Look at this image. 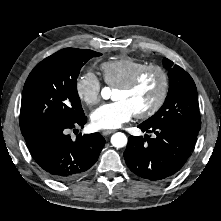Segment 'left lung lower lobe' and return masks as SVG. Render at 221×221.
<instances>
[{"label":"left lung lower lobe","instance_id":"obj_1","mask_svg":"<svg viewBox=\"0 0 221 221\" xmlns=\"http://www.w3.org/2000/svg\"><path fill=\"white\" fill-rule=\"evenodd\" d=\"M138 127L143 132L154 133L156 137H130L124 152L129 169L141 178L156 182L177 174L189 158L197 136L172 125L143 122Z\"/></svg>","mask_w":221,"mask_h":221}]
</instances>
